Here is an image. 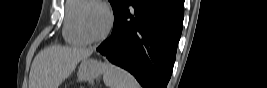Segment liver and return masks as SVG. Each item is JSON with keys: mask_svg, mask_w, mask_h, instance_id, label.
I'll return each mask as SVG.
<instances>
[{"mask_svg": "<svg viewBox=\"0 0 267 88\" xmlns=\"http://www.w3.org/2000/svg\"><path fill=\"white\" fill-rule=\"evenodd\" d=\"M92 50L78 47L50 46L34 58L30 71L29 88H58L87 59Z\"/></svg>", "mask_w": 267, "mask_h": 88, "instance_id": "liver-1", "label": "liver"}]
</instances>
